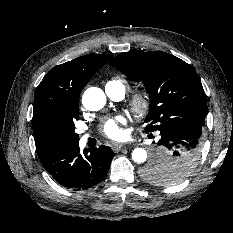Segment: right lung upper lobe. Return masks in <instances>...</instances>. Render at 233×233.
<instances>
[{
  "label": "right lung upper lobe",
  "instance_id": "cb5924a9",
  "mask_svg": "<svg viewBox=\"0 0 233 233\" xmlns=\"http://www.w3.org/2000/svg\"><path fill=\"white\" fill-rule=\"evenodd\" d=\"M112 57L103 54L81 56L54 67L46 74L34 98L32 126L37 150L39 130L44 121L68 109L78 108L82 89L92 75Z\"/></svg>",
  "mask_w": 233,
  "mask_h": 233
}]
</instances>
